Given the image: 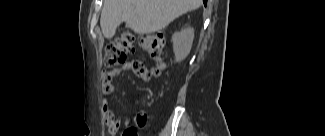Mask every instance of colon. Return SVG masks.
Here are the masks:
<instances>
[{
    "mask_svg": "<svg viewBox=\"0 0 325 136\" xmlns=\"http://www.w3.org/2000/svg\"><path fill=\"white\" fill-rule=\"evenodd\" d=\"M141 48L159 64L152 69V75H158L162 69L161 60L165 46V39L162 34H146L139 39ZM135 36L131 32H124L108 43L105 48L104 64L108 67L116 66L125 62L128 55L134 52ZM122 136H138L137 129L127 128Z\"/></svg>",
    "mask_w": 325,
    "mask_h": 136,
    "instance_id": "5ec220e1",
    "label": "colon"
}]
</instances>
